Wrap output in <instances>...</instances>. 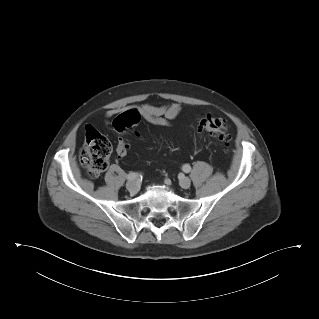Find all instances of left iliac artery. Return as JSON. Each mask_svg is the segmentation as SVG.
<instances>
[{
  "label": "left iliac artery",
  "mask_w": 319,
  "mask_h": 319,
  "mask_svg": "<svg viewBox=\"0 0 319 319\" xmlns=\"http://www.w3.org/2000/svg\"><path fill=\"white\" fill-rule=\"evenodd\" d=\"M183 171L189 173L191 171V166L189 164H185L183 166Z\"/></svg>",
  "instance_id": "left-iliac-artery-1"
}]
</instances>
